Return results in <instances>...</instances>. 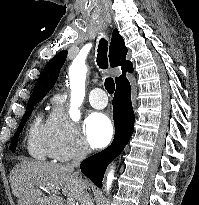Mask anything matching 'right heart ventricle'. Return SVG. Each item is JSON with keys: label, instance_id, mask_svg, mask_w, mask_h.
<instances>
[{"label": "right heart ventricle", "instance_id": "1", "mask_svg": "<svg viewBox=\"0 0 199 205\" xmlns=\"http://www.w3.org/2000/svg\"><path fill=\"white\" fill-rule=\"evenodd\" d=\"M27 150L32 157L38 160H45L47 156H50L47 144L46 127L42 124L40 117H37L34 120L29 130Z\"/></svg>", "mask_w": 199, "mask_h": 205}]
</instances>
